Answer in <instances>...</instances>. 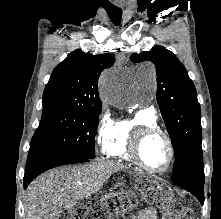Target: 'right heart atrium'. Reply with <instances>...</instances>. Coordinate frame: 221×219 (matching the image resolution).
<instances>
[{"label":"right heart atrium","instance_id":"obj_1","mask_svg":"<svg viewBox=\"0 0 221 219\" xmlns=\"http://www.w3.org/2000/svg\"><path fill=\"white\" fill-rule=\"evenodd\" d=\"M115 121L108 109H104L96 130V143L102 152H106L112 136Z\"/></svg>","mask_w":221,"mask_h":219}]
</instances>
